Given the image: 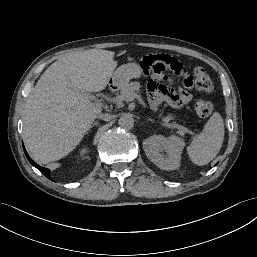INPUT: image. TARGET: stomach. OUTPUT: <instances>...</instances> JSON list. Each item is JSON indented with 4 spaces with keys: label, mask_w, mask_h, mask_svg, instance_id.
Returning <instances> with one entry per match:
<instances>
[{
    "label": "stomach",
    "mask_w": 257,
    "mask_h": 257,
    "mask_svg": "<svg viewBox=\"0 0 257 257\" xmlns=\"http://www.w3.org/2000/svg\"><path fill=\"white\" fill-rule=\"evenodd\" d=\"M141 67L136 63H128L118 67L112 76V81L119 87H123L133 78H140Z\"/></svg>",
    "instance_id": "1"
}]
</instances>
